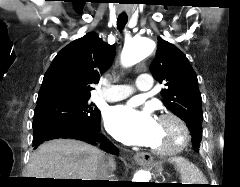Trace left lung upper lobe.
Returning a JSON list of instances; mask_svg holds the SVG:
<instances>
[{
  "label": "left lung upper lobe",
  "mask_w": 240,
  "mask_h": 187,
  "mask_svg": "<svg viewBox=\"0 0 240 187\" xmlns=\"http://www.w3.org/2000/svg\"><path fill=\"white\" fill-rule=\"evenodd\" d=\"M150 71L166 86L161 90L164 105L187 123L194 150L198 152L202 138V98L191 64L176 46L158 38V50Z\"/></svg>",
  "instance_id": "5c2ea615"
}]
</instances>
